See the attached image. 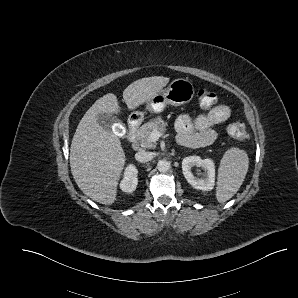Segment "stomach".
Returning <instances> with one entry per match:
<instances>
[{
	"instance_id": "stomach-1",
	"label": "stomach",
	"mask_w": 298,
	"mask_h": 298,
	"mask_svg": "<svg viewBox=\"0 0 298 298\" xmlns=\"http://www.w3.org/2000/svg\"><path fill=\"white\" fill-rule=\"evenodd\" d=\"M195 95V88L192 82L184 78L172 80L169 85L157 93L146 104V110L150 113L160 114L168 105L181 106L189 103ZM140 115L139 113H135Z\"/></svg>"
}]
</instances>
